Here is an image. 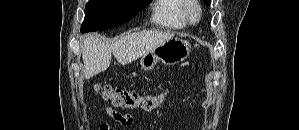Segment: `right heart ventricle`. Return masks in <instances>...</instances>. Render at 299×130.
Wrapping results in <instances>:
<instances>
[{
    "instance_id": "1",
    "label": "right heart ventricle",
    "mask_w": 299,
    "mask_h": 130,
    "mask_svg": "<svg viewBox=\"0 0 299 130\" xmlns=\"http://www.w3.org/2000/svg\"><path fill=\"white\" fill-rule=\"evenodd\" d=\"M185 0H158L152 13V21L162 27L183 29L188 26L184 16Z\"/></svg>"
}]
</instances>
